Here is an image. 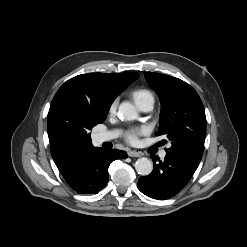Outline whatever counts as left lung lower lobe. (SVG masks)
<instances>
[{
    "mask_svg": "<svg viewBox=\"0 0 247 247\" xmlns=\"http://www.w3.org/2000/svg\"><path fill=\"white\" fill-rule=\"evenodd\" d=\"M151 174L139 178V190L154 199L162 200L177 194L187 184L199 164L166 153L164 161L153 156Z\"/></svg>",
    "mask_w": 247,
    "mask_h": 247,
    "instance_id": "1",
    "label": "left lung lower lobe"
}]
</instances>
